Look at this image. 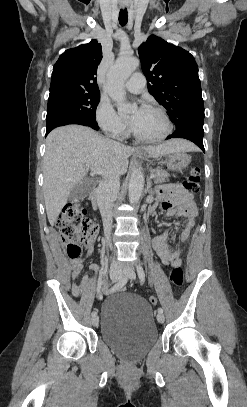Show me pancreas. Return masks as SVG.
I'll list each match as a JSON object with an SVG mask.
<instances>
[{"instance_id":"pancreas-1","label":"pancreas","mask_w":247,"mask_h":407,"mask_svg":"<svg viewBox=\"0 0 247 407\" xmlns=\"http://www.w3.org/2000/svg\"><path fill=\"white\" fill-rule=\"evenodd\" d=\"M151 173L155 174V176H154L155 183H163L170 176V174L167 171H165L161 168L151 169Z\"/></svg>"}]
</instances>
